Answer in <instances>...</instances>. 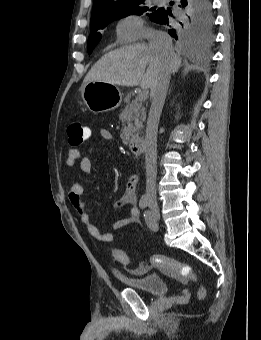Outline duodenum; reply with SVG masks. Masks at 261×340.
<instances>
[{
	"mask_svg": "<svg viewBox=\"0 0 261 340\" xmlns=\"http://www.w3.org/2000/svg\"><path fill=\"white\" fill-rule=\"evenodd\" d=\"M129 149L134 155H141L144 150V139L140 136H135L129 141Z\"/></svg>",
	"mask_w": 261,
	"mask_h": 340,
	"instance_id": "obj_1",
	"label": "duodenum"
}]
</instances>
